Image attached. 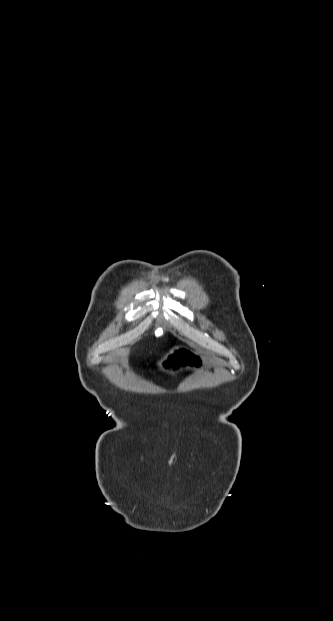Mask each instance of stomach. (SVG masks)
Masks as SVG:
<instances>
[{"label":"stomach","instance_id":"obj_1","mask_svg":"<svg viewBox=\"0 0 333 621\" xmlns=\"http://www.w3.org/2000/svg\"><path fill=\"white\" fill-rule=\"evenodd\" d=\"M192 361V347L188 343H181L170 353H165L161 357V364L165 368H172L175 364V372L178 375H185L188 372V365Z\"/></svg>","mask_w":333,"mask_h":621}]
</instances>
